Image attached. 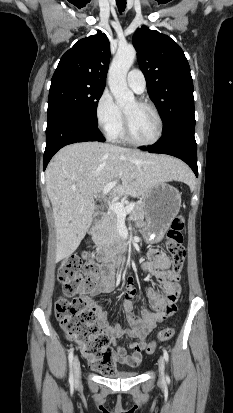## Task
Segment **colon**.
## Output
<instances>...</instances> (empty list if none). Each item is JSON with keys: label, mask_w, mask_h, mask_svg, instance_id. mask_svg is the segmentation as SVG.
I'll return each mask as SVG.
<instances>
[{"label": "colon", "mask_w": 233, "mask_h": 413, "mask_svg": "<svg viewBox=\"0 0 233 413\" xmlns=\"http://www.w3.org/2000/svg\"><path fill=\"white\" fill-rule=\"evenodd\" d=\"M184 227V217L178 215L172 220L167 232L166 250L172 258L169 270L172 278L179 276L185 259ZM110 272V269L103 267L88 252L81 256L72 255L66 258L58 267V279L66 295L82 294V296L71 299L61 297L55 305L56 318L64 335L78 344L92 367L103 374H110L115 370L116 355L110 347L109 337L99 332L95 314L88 306L85 294L92 293L99 280ZM169 308L176 310V304L171 306L169 302ZM174 333V326L160 329L155 340L146 346V352L153 353L159 342L168 341Z\"/></svg>", "instance_id": "obj_1"}]
</instances>
